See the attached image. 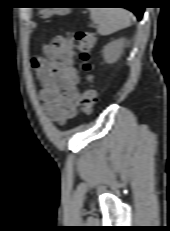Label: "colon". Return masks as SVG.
Instances as JSON below:
<instances>
[{"label":"colon","mask_w":170,"mask_h":231,"mask_svg":"<svg viewBox=\"0 0 170 231\" xmlns=\"http://www.w3.org/2000/svg\"><path fill=\"white\" fill-rule=\"evenodd\" d=\"M63 13L64 10L62 9H52V10H45L42 13V15L44 17H48L53 14L62 15ZM95 42H96V33L94 31H79L75 34L74 47L77 50L82 68L86 73H89L91 70L90 53L95 45ZM91 81H92L91 76L88 75L86 77L87 87L85 88L82 95L80 96V105L82 111L85 114H90L97 103V93L90 86Z\"/></svg>","instance_id":"colon-1"}]
</instances>
